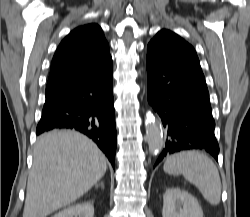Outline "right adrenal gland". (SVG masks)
I'll list each match as a JSON object with an SVG mask.
<instances>
[{
  "instance_id": "obj_1",
  "label": "right adrenal gland",
  "mask_w": 250,
  "mask_h": 217,
  "mask_svg": "<svg viewBox=\"0 0 250 217\" xmlns=\"http://www.w3.org/2000/svg\"><path fill=\"white\" fill-rule=\"evenodd\" d=\"M96 186H97V187H98V186H101V188H104V184H103L102 182L99 183V184H97Z\"/></svg>"
}]
</instances>
